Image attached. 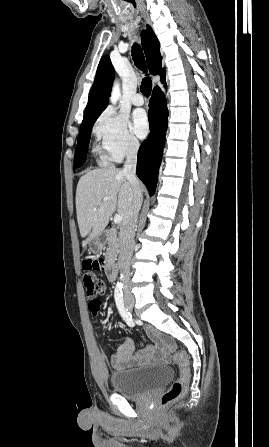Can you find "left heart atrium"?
I'll return each instance as SVG.
<instances>
[{"label":"left heart atrium","instance_id":"left-heart-atrium-1","mask_svg":"<svg viewBox=\"0 0 269 447\" xmlns=\"http://www.w3.org/2000/svg\"><path fill=\"white\" fill-rule=\"evenodd\" d=\"M131 127L133 132L140 138H144L150 131V120L144 109H136L132 114Z\"/></svg>","mask_w":269,"mask_h":447}]
</instances>
